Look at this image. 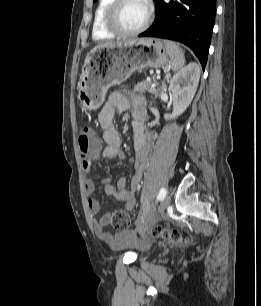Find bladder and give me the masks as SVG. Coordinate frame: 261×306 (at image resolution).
Here are the masks:
<instances>
[{
	"mask_svg": "<svg viewBox=\"0 0 261 306\" xmlns=\"http://www.w3.org/2000/svg\"><path fill=\"white\" fill-rule=\"evenodd\" d=\"M149 249H150V245H148V244H144V245H142V246L140 247V250H141L142 252H147Z\"/></svg>",
	"mask_w": 261,
	"mask_h": 306,
	"instance_id": "31cf9c89",
	"label": "bladder"
}]
</instances>
